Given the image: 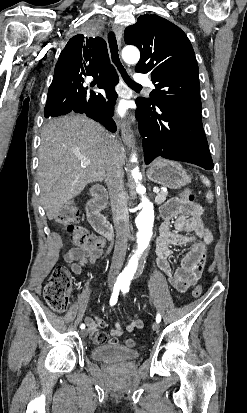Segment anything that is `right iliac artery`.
<instances>
[{"label":"right iliac artery","mask_w":247,"mask_h":413,"mask_svg":"<svg viewBox=\"0 0 247 413\" xmlns=\"http://www.w3.org/2000/svg\"><path fill=\"white\" fill-rule=\"evenodd\" d=\"M120 289H121V286L116 285V284L114 285L113 293H112L111 298H110V305H111V306H113V305H115V304L117 303ZM80 328H81V329H84V328H85V325H84V324H81V325H80Z\"/></svg>","instance_id":"obj_1"}]
</instances>
